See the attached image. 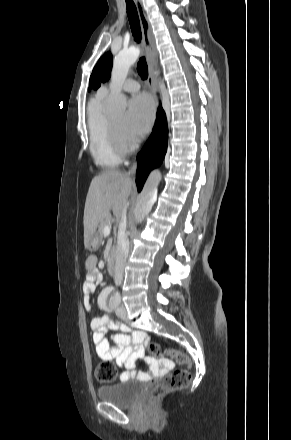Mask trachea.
<instances>
[{"label":"trachea","instance_id":"obj_1","mask_svg":"<svg viewBox=\"0 0 291 440\" xmlns=\"http://www.w3.org/2000/svg\"><path fill=\"white\" fill-rule=\"evenodd\" d=\"M126 4H127V15L129 18L132 34L134 36L135 41L140 42L141 41V29H140L139 17H138L136 6L130 0H126ZM137 71L142 79H147L148 67H147L145 57L140 58V60L137 64Z\"/></svg>","mask_w":291,"mask_h":440}]
</instances>
